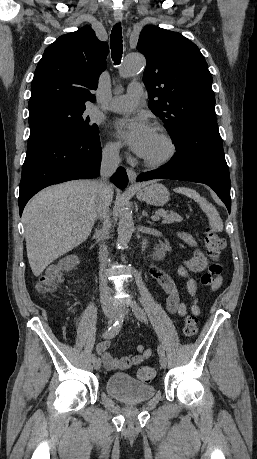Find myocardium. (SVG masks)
I'll return each mask as SVG.
<instances>
[{
	"instance_id": "f54148a6",
	"label": "myocardium",
	"mask_w": 257,
	"mask_h": 459,
	"mask_svg": "<svg viewBox=\"0 0 257 459\" xmlns=\"http://www.w3.org/2000/svg\"><path fill=\"white\" fill-rule=\"evenodd\" d=\"M155 131L162 137L167 144L168 150L166 154L157 159H149L142 157L143 163L150 168H161L169 164L177 154V144L168 131L162 126H155Z\"/></svg>"
}]
</instances>
